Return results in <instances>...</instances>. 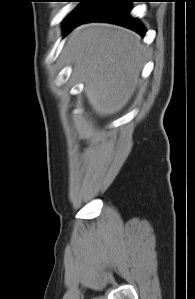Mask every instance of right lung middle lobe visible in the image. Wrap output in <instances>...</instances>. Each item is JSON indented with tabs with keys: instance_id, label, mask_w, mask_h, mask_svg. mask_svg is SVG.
Listing matches in <instances>:
<instances>
[{
	"instance_id": "dd1d6c3e",
	"label": "right lung middle lobe",
	"mask_w": 195,
	"mask_h": 299,
	"mask_svg": "<svg viewBox=\"0 0 195 299\" xmlns=\"http://www.w3.org/2000/svg\"><path fill=\"white\" fill-rule=\"evenodd\" d=\"M94 1L95 0H80L79 4L76 6V8L65 19L66 29L71 24H73L75 21L80 19L83 16V14L86 12V10L92 5V3Z\"/></svg>"
}]
</instances>
